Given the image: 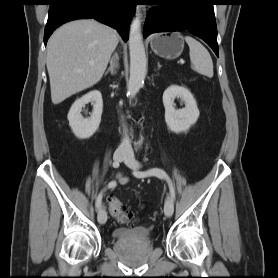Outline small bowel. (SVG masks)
I'll return each mask as SVG.
<instances>
[{
	"instance_id": "small-bowel-1",
	"label": "small bowel",
	"mask_w": 278,
	"mask_h": 278,
	"mask_svg": "<svg viewBox=\"0 0 278 278\" xmlns=\"http://www.w3.org/2000/svg\"><path fill=\"white\" fill-rule=\"evenodd\" d=\"M117 181L120 183V184H127L128 183V178L127 177H125V176H123V175H121V174H119L118 176H117ZM115 182V181H114Z\"/></svg>"
}]
</instances>
